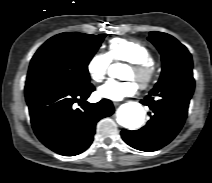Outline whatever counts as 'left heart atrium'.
I'll return each instance as SVG.
<instances>
[{"instance_id": "obj_1", "label": "left heart atrium", "mask_w": 212, "mask_h": 183, "mask_svg": "<svg viewBox=\"0 0 212 183\" xmlns=\"http://www.w3.org/2000/svg\"><path fill=\"white\" fill-rule=\"evenodd\" d=\"M136 91L137 85L131 80L123 82L111 80L100 86L97 90V94L104 99L120 101L126 97L133 96Z\"/></svg>"}]
</instances>
